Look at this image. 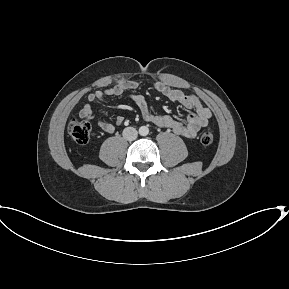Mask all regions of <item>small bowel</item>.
<instances>
[{
	"label": "small bowel",
	"instance_id": "c3829d8e",
	"mask_svg": "<svg viewBox=\"0 0 289 289\" xmlns=\"http://www.w3.org/2000/svg\"><path fill=\"white\" fill-rule=\"evenodd\" d=\"M139 83L134 80H121L116 85L95 91L88 95L86 104L80 110V117L83 119H94L91 104L96 101H104L107 97L120 96L129 93L130 98L140 109L141 115L145 121L151 122L158 127L172 130L175 134L185 138H194L201 128L207 126L212 113L200 99L193 95L185 93L179 89H174L162 82H156L154 89L167 97L169 100L176 102L193 112L187 117L186 122H182L168 115H157L151 112L144 96L140 94L138 89ZM124 123V118L118 116L114 123H108L96 120L97 126L107 133H113L116 126Z\"/></svg>",
	"mask_w": 289,
	"mask_h": 289
}]
</instances>
